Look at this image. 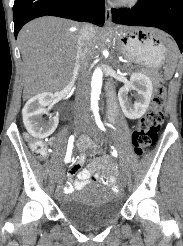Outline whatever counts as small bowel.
Masks as SVG:
<instances>
[{
    "label": "small bowel",
    "mask_w": 183,
    "mask_h": 246,
    "mask_svg": "<svg viewBox=\"0 0 183 246\" xmlns=\"http://www.w3.org/2000/svg\"><path fill=\"white\" fill-rule=\"evenodd\" d=\"M84 160H85V156L84 154H81L78 162L69 168L68 176L72 177L77 174V178L73 181V183L67 184L62 188V192L64 194H70L75 190H80L90 182H100L106 186H109L110 191L118 190V187L114 186L116 175L114 173V168L112 165H109V170H110L109 173L103 176L100 174L96 164H93L89 168L81 169ZM54 188L60 189L61 185L55 184Z\"/></svg>",
    "instance_id": "c3829d8e"
}]
</instances>
